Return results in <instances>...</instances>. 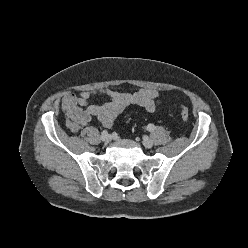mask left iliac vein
<instances>
[{
    "mask_svg": "<svg viewBox=\"0 0 248 248\" xmlns=\"http://www.w3.org/2000/svg\"><path fill=\"white\" fill-rule=\"evenodd\" d=\"M142 143H143V145H144L146 148H148V149L152 148V146H153L152 140L149 139V138L146 137V136L143 137Z\"/></svg>",
    "mask_w": 248,
    "mask_h": 248,
    "instance_id": "1",
    "label": "left iliac vein"
}]
</instances>
